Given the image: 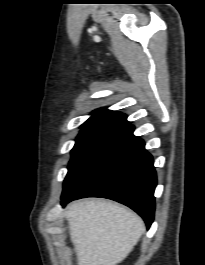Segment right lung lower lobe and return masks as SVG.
<instances>
[{
	"label": "right lung lower lobe",
	"instance_id": "98d812e1",
	"mask_svg": "<svg viewBox=\"0 0 205 265\" xmlns=\"http://www.w3.org/2000/svg\"><path fill=\"white\" fill-rule=\"evenodd\" d=\"M127 129L61 196L62 204L84 197L118 201L136 211L147 228L153 222L157 184L153 158L142 139Z\"/></svg>",
	"mask_w": 205,
	"mask_h": 265
}]
</instances>
